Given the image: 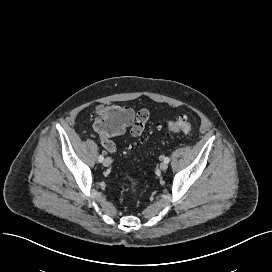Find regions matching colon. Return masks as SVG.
<instances>
[{
  "label": "colon",
  "mask_w": 272,
  "mask_h": 272,
  "mask_svg": "<svg viewBox=\"0 0 272 272\" xmlns=\"http://www.w3.org/2000/svg\"><path fill=\"white\" fill-rule=\"evenodd\" d=\"M131 120V114L119 107L111 106L104 108L96 118L94 122V130L99 133L102 138L109 135H118L125 131L129 126ZM146 119L145 116L139 115L132 124L130 133L133 137H140L144 127ZM170 132H182L190 135L193 131V124L183 115L176 117L173 121L169 122L166 128ZM131 192L135 194L138 190L139 180L130 179Z\"/></svg>",
  "instance_id": "colon-1"
}]
</instances>
